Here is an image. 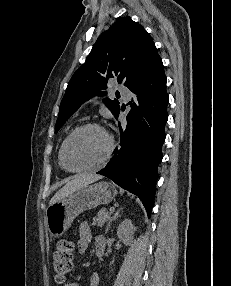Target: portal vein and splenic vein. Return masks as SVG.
I'll use <instances>...</instances> for the list:
<instances>
[{
  "instance_id": "obj_1",
  "label": "portal vein and splenic vein",
  "mask_w": 231,
  "mask_h": 286,
  "mask_svg": "<svg viewBox=\"0 0 231 286\" xmlns=\"http://www.w3.org/2000/svg\"><path fill=\"white\" fill-rule=\"evenodd\" d=\"M115 210V207H110L109 211L113 212Z\"/></svg>"
}]
</instances>
